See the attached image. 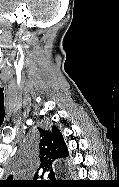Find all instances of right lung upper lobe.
<instances>
[{
  "label": "right lung upper lobe",
  "mask_w": 119,
  "mask_h": 187,
  "mask_svg": "<svg viewBox=\"0 0 119 187\" xmlns=\"http://www.w3.org/2000/svg\"><path fill=\"white\" fill-rule=\"evenodd\" d=\"M40 131V172H51L54 160L68 156L67 147L59 129L53 126L52 132L39 129Z\"/></svg>",
  "instance_id": "1"
}]
</instances>
